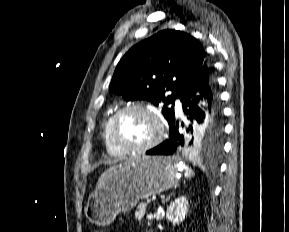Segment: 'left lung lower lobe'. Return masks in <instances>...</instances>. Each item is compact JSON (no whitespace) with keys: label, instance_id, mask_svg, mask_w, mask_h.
<instances>
[{"label":"left lung lower lobe","instance_id":"obj_1","mask_svg":"<svg viewBox=\"0 0 289 232\" xmlns=\"http://www.w3.org/2000/svg\"><path fill=\"white\" fill-rule=\"evenodd\" d=\"M199 93L200 95H196ZM206 99V107L200 109L198 102ZM183 111L191 121L186 126V132L191 133L195 128H200L211 120L222 121L216 90V78L213 67L205 60L201 68L192 78L179 97ZM194 121V123H193ZM184 126V123H182ZM187 140L179 129V122L173 119L169 124V138L162 144L146 152L147 155H171L176 152H187Z\"/></svg>","mask_w":289,"mask_h":232}]
</instances>
